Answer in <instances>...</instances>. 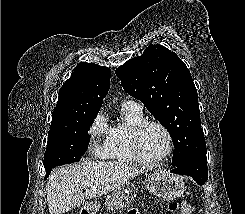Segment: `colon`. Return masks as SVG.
<instances>
[{"label": "colon", "instance_id": "5ec220e1", "mask_svg": "<svg viewBox=\"0 0 245 214\" xmlns=\"http://www.w3.org/2000/svg\"><path fill=\"white\" fill-rule=\"evenodd\" d=\"M169 209L171 211L179 210L181 214H193L194 208L191 204L182 202L180 204L178 203H171L169 205Z\"/></svg>", "mask_w": 245, "mask_h": 214}]
</instances>
